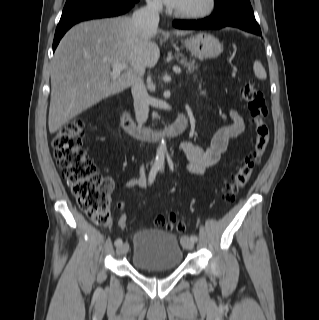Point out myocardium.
Instances as JSON below:
<instances>
[{"label":"myocardium","instance_id":"myocardium-1","mask_svg":"<svg viewBox=\"0 0 319 320\" xmlns=\"http://www.w3.org/2000/svg\"><path fill=\"white\" fill-rule=\"evenodd\" d=\"M217 6V0H206L204 7L195 11H179L174 12L175 16L181 19L193 20L201 19L211 15Z\"/></svg>","mask_w":319,"mask_h":320}]
</instances>
